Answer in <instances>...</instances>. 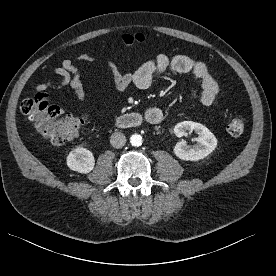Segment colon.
I'll list each match as a JSON object with an SVG mask.
<instances>
[{"label":"colon","mask_w":276,"mask_h":276,"mask_svg":"<svg viewBox=\"0 0 276 276\" xmlns=\"http://www.w3.org/2000/svg\"><path fill=\"white\" fill-rule=\"evenodd\" d=\"M143 41L144 36L139 33L125 34L121 37V42L126 48ZM20 109L34 131L56 145L73 140L83 125L79 117L63 116L58 107L49 103L45 92H37L35 96L23 100ZM245 127V119L242 116H234L228 123L227 131L231 136L238 137L243 134Z\"/></svg>","instance_id":"obj_1"}]
</instances>
